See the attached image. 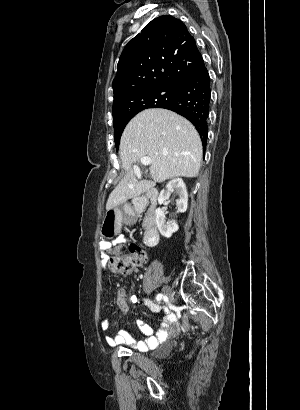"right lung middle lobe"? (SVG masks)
I'll list each match as a JSON object with an SVG mask.
<instances>
[{
	"instance_id": "dd1d6c3e",
	"label": "right lung middle lobe",
	"mask_w": 300,
	"mask_h": 410,
	"mask_svg": "<svg viewBox=\"0 0 300 410\" xmlns=\"http://www.w3.org/2000/svg\"><path fill=\"white\" fill-rule=\"evenodd\" d=\"M179 89V86H169L138 93L134 97V101L130 104L132 107V113L113 118L115 132L114 137L117 150L119 147L121 134L131 118L144 109L161 107L162 105L169 103L178 93Z\"/></svg>"
}]
</instances>
